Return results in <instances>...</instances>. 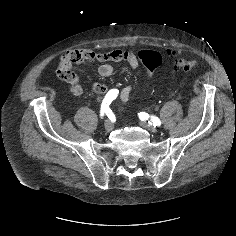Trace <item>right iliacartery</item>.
Masks as SVG:
<instances>
[{
    "instance_id": "right-iliac-artery-1",
    "label": "right iliac artery",
    "mask_w": 236,
    "mask_h": 236,
    "mask_svg": "<svg viewBox=\"0 0 236 236\" xmlns=\"http://www.w3.org/2000/svg\"><path fill=\"white\" fill-rule=\"evenodd\" d=\"M119 90L118 89H111L108 91L106 96L104 97L102 104H101V110H100V116L103 117L104 114H109L111 112V109L109 108V105L113 100L116 99L118 96Z\"/></svg>"
}]
</instances>
